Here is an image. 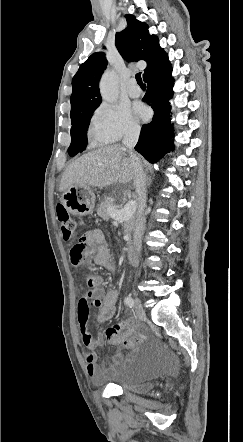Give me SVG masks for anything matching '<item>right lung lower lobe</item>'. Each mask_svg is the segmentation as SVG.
<instances>
[{
    "mask_svg": "<svg viewBox=\"0 0 243 442\" xmlns=\"http://www.w3.org/2000/svg\"><path fill=\"white\" fill-rule=\"evenodd\" d=\"M172 68L165 54L163 59L145 76L148 89L143 100L153 108L152 121L143 125L135 150L149 162L159 160L166 152L173 150L172 125L170 124V103L173 96Z\"/></svg>",
    "mask_w": 243,
    "mask_h": 442,
    "instance_id": "98d812e1",
    "label": "right lung lower lobe"
}]
</instances>
